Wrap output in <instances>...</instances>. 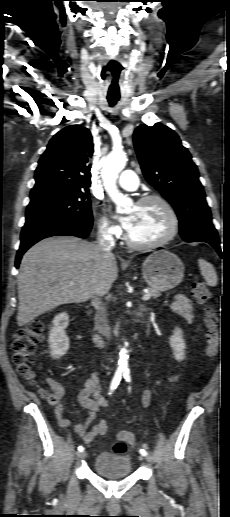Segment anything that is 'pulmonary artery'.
<instances>
[{"mask_svg": "<svg viewBox=\"0 0 230 517\" xmlns=\"http://www.w3.org/2000/svg\"><path fill=\"white\" fill-rule=\"evenodd\" d=\"M138 183V177L132 170L123 171L118 179L119 186L128 191L136 190Z\"/></svg>", "mask_w": 230, "mask_h": 517, "instance_id": "pulmonary-artery-1", "label": "pulmonary artery"}]
</instances>
